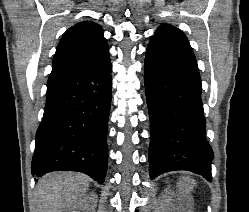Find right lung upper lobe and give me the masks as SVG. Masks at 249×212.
Returning a JSON list of instances; mask_svg holds the SVG:
<instances>
[{
	"instance_id": "right-lung-upper-lobe-1",
	"label": "right lung upper lobe",
	"mask_w": 249,
	"mask_h": 212,
	"mask_svg": "<svg viewBox=\"0 0 249 212\" xmlns=\"http://www.w3.org/2000/svg\"><path fill=\"white\" fill-rule=\"evenodd\" d=\"M109 56L103 29L93 22H80L62 36L53 58L48 82L97 64Z\"/></svg>"
}]
</instances>
